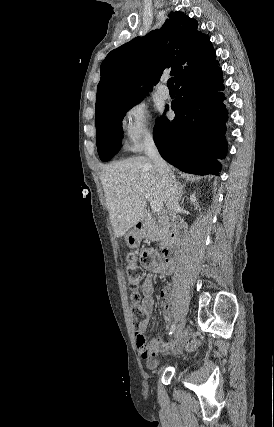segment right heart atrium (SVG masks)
<instances>
[{
	"instance_id": "d8ad5b80",
	"label": "right heart atrium",
	"mask_w": 274,
	"mask_h": 427,
	"mask_svg": "<svg viewBox=\"0 0 274 427\" xmlns=\"http://www.w3.org/2000/svg\"><path fill=\"white\" fill-rule=\"evenodd\" d=\"M123 134L126 146L135 152L142 151L154 141L152 117L147 106L138 104L125 111Z\"/></svg>"
}]
</instances>
